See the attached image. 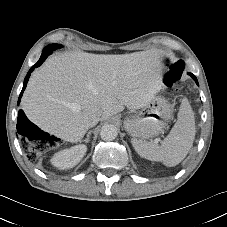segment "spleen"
Returning <instances> with one entry per match:
<instances>
[{"label": "spleen", "instance_id": "1", "mask_svg": "<svg viewBox=\"0 0 227 227\" xmlns=\"http://www.w3.org/2000/svg\"><path fill=\"white\" fill-rule=\"evenodd\" d=\"M195 119L187 98L181 102L177 122L161 145L132 139L135 151L143 158L160 161L172 167L179 164L188 154L195 139Z\"/></svg>", "mask_w": 227, "mask_h": 227}]
</instances>
